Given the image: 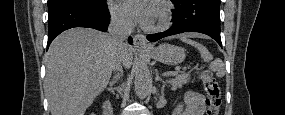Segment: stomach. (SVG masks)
<instances>
[{
	"label": "stomach",
	"instance_id": "obj_1",
	"mask_svg": "<svg viewBox=\"0 0 285 115\" xmlns=\"http://www.w3.org/2000/svg\"><path fill=\"white\" fill-rule=\"evenodd\" d=\"M150 55L155 60L167 65H177L183 62L186 57L183 48L166 43L151 49Z\"/></svg>",
	"mask_w": 285,
	"mask_h": 115
}]
</instances>
